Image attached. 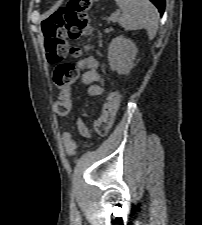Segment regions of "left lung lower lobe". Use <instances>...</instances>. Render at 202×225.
Masks as SVG:
<instances>
[{
    "label": "left lung lower lobe",
    "instance_id": "0a47b994",
    "mask_svg": "<svg viewBox=\"0 0 202 225\" xmlns=\"http://www.w3.org/2000/svg\"><path fill=\"white\" fill-rule=\"evenodd\" d=\"M159 10L160 14L164 13L165 0H150Z\"/></svg>",
    "mask_w": 202,
    "mask_h": 225
}]
</instances>
